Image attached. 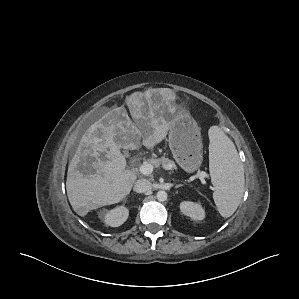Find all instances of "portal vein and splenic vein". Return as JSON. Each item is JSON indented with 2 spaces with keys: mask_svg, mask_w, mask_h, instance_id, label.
I'll return each instance as SVG.
<instances>
[{
  "mask_svg": "<svg viewBox=\"0 0 299 299\" xmlns=\"http://www.w3.org/2000/svg\"><path fill=\"white\" fill-rule=\"evenodd\" d=\"M139 171L144 174V175H148L151 174L153 172V166L150 163L147 164H143L139 166ZM200 178L204 179L207 177V174L205 172H201L198 174Z\"/></svg>",
  "mask_w": 299,
  "mask_h": 299,
  "instance_id": "1",
  "label": "portal vein and splenic vein"
}]
</instances>
